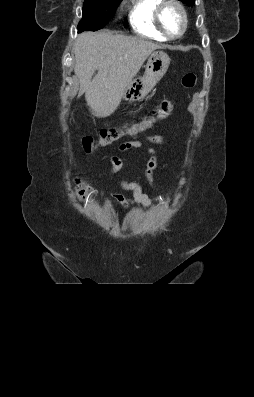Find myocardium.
<instances>
[{
  "label": "myocardium",
  "mask_w": 254,
  "mask_h": 397,
  "mask_svg": "<svg viewBox=\"0 0 254 397\" xmlns=\"http://www.w3.org/2000/svg\"><path fill=\"white\" fill-rule=\"evenodd\" d=\"M168 6L176 7L179 10L181 17H182V21H183L182 29H181L180 33L177 35L169 34L166 31V29L163 25V22H162V14H163L165 8ZM155 24H156L158 30L160 31V33L163 36H165L167 39L176 40V39L181 38L185 34L187 27H188V15H187L185 7L178 0H161V2L158 4V6L156 7V10H155Z\"/></svg>",
  "instance_id": "myocardium-1"
}]
</instances>
